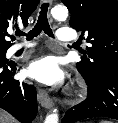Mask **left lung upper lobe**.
<instances>
[{
  "label": "left lung upper lobe",
  "instance_id": "obj_1",
  "mask_svg": "<svg viewBox=\"0 0 118 123\" xmlns=\"http://www.w3.org/2000/svg\"><path fill=\"white\" fill-rule=\"evenodd\" d=\"M71 13L70 26L82 32L87 42L77 68L89 78H95L108 67H118V1L61 0Z\"/></svg>",
  "mask_w": 118,
  "mask_h": 123
}]
</instances>
